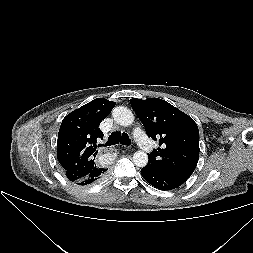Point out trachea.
<instances>
[{"instance_id": "trachea-1", "label": "trachea", "mask_w": 253, "mask_h": 253, "mask_svg": "<svg viewBox=\"0 0 253 253\" xmlns=\"http://www.w3.org/2000/svg\"><path fill=\"white\" fill-rule=\"evenodd\" d=\"M119 143L129 146L131 144V140L126 133L121 134L120 132H113L109 136L108 141L106 142V146H111Z\"/></svg>"}]
</instances>
